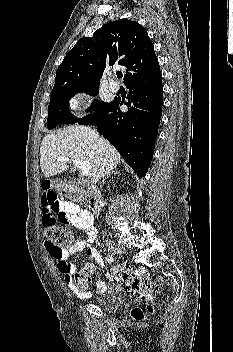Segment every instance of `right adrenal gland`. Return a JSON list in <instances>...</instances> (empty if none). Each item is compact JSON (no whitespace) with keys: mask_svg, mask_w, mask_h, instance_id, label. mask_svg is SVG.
<instances>
[{"mask_svg":"<svg viewBox=\"0 0 233 352\" xmlns=\"http://www.w3.org/2000/svg\"><path fill=\"white\" fill-rule=\"evenodd\" d=\"M112 174H119V171L114 169L111 172L107 173V175L102 179L101 186L105 183L106 179L109 178Z\"/></svg>","mask_w":233,"mask_h":352,"instance_id":"2a0ac1e0","label":"right adrenal gland"}]
</instances>
